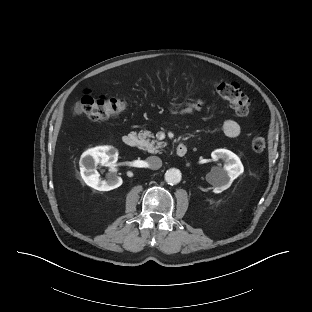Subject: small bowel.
<instances>
[{
  "label": "small bowel",
  "instance_id": "small-bowel-1",
  "mask_svg": "<svg viewBox=\"0 0 312 312\" xmlns=\"http://www.w3.org/2000/svg\"><path fill=\"white\" fill-rule=\"evenodd\" d=\"M204 101L201 99H192L182 104H172L169 111L173 114L192 115L202 110ZM223 132L227 137L234 138L240 135L241 126L232 119H227L223 123Z\"/></svg>",
  "mask_w": 312,
  "mask_h": 312
}]
</instances>
